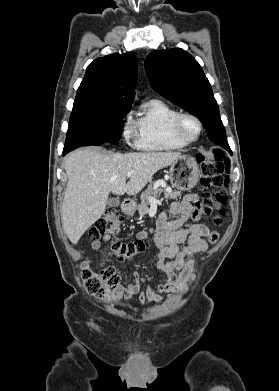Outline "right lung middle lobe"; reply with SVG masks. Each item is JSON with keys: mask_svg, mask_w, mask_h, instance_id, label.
<instances>
[{"mask_svg": "<svg viewBox=\"0 0 279 391\" xmlns=\"http://www.w3.org/2000/svg\"><path fill=\"white\" fill-rule=\"evenodd\" d=\"M130 108H95L72 111L64 150L80 146L117 144L122 134L121 122Z\"/></svg>", "mask_w": 279, "mask_h": 391, "instance_id": "right-lung-middle-lobe-1", "label": "right lung middle lobe"}]
</instances>
